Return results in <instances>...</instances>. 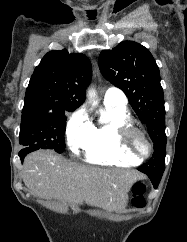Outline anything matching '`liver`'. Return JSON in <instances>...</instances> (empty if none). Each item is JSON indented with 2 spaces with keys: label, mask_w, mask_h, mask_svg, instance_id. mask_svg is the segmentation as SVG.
<instances>
[{
  "label": "liver",
  "mask_w": 187,
  "mask_h": 242,
  "mask_svg": "<svg viewBox=\"0 0 187 242\" xmlns=\"http://www.w3.org/2000/svg\"><path fill=\"white\" fill-rule=\"evenodd\" d=\"M139 177L136 171L91 167L43 150L29 154L22 169L23 182L35 195L107 211L125 209Z\"/></svg>",
  "instance_id": "1"
}]
</instances>
